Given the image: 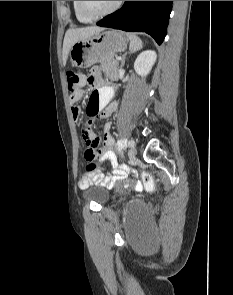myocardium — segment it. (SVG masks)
<instances>
[{"instance_id":"obj_1","label":"myocardium","mask_w":233,"mask_h":295,"mask_svg":"<svg viewBox=\"0 0 233 295\" xmlns=\"http://www.w3.org/2000/svg\"><path fill=\"white\" fill-rule=\"evenodd\" d=\"M123 1H116L115 4L107 11L100 13V14H91L89 13L85 8H84V3L83 1H77V8L78 11L80 12V14L82 16H84L85 18H88L90 20H96V19H100L103 17H106L108 15L113 14L114 12H116L120 6L122 5Z\"/></svg>"}]
</instances>
